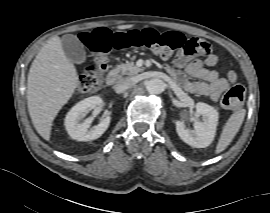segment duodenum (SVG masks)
<instances>
[{
    "label": "duodenum",
    "mask_w": 270,
    "mask_h": 213,
    "mask_svg": "<svg viewBox=\"0 0 270 213\" xmlns=\"http://www.w3.org/2000/svg\"><path fill=\"white\" fill-rule=\"evenodd\" d=\"M121 78V73L118 70H111L107 77H106V83L107 85H112L115 84L119 81V79Z\"/></svg>",
    "instance_id": "1"
}]
</instances>
